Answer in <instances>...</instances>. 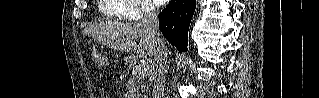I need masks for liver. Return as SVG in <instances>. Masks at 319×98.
Segmentation results:
<instances>
[{"label": "liver", "mask_w": 319, "mask_h": 98, "mask_svg": "<svg viewBox=\"0 0 319 98\" xmlns=\"http://www.w3.org/2000/svg\"><path fill=\"white\" fill-rule=\"evenodd\" d=\"M98 43L122 51H133L141 56H154L156 44L142 22H102L84 30ZM140 39L139 44L135 42Z\"/></svg>", "instance_id": "1"}]
</instances>
